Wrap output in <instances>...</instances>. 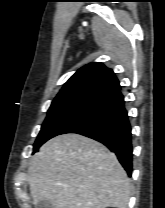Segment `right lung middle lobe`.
Listing matches in <instances>:
<instances>
[{"instance_id":"right-lung-middle-lobe-1","label":"right lung middle lobe","mask_w":165,"mask_h":208,"mask_svg":"<svg viewBox=\"0 0 165 208\" xmlns=\"http://www.w3.org/2000/svg\"><path fill=\"white\" fill-rule=\"evenodd\" d=\"M92 108L93 106L89 105L51 106L35 141L34 152L47 140L61 134L65 129L87 115Z\"/></svg>"}]
</instances>
